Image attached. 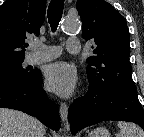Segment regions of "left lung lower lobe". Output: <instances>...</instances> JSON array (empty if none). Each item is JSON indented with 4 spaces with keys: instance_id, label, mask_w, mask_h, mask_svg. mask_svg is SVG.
Listing matches in <instances>:
<instances>
[{
    "instance_id": "1",
    "label": "left lung lower lobe",
    "mask_w": 144,
    "mask_h": 137,
    "mask_svg": "<svg viewBox=\"0 0 144 137\" xmlns=\"http://www.w3.org/2000/svg\"><path fill=\"white\" fill-rule=\"evenodd\" d=\"M68 117L72 134L105 120L134 122L144 130V111L136 89H89L74 100Z\"/></svg>"
}]
</instances>
